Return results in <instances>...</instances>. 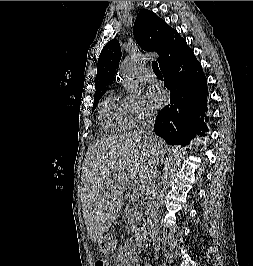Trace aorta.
I'll return each mask as SVG.
<instances>
[{
	"instance_id": "1",
	"label": "aorta",
	"mask_w": 253,
	"mask_h": 266,
	"mask_svg": "<svg viewBox=\"0 0 253 266\" xmlns=\"http://www.w3.org/2000/svg\"><path fill=\"white\" fill-rule=\"evenodd\" d=\"M119 72L125 89L130 92L136 91L139 87V82L136 77L135 62L131 58L124 60L121 63Z\"/></svg>"
}]
</instances>
